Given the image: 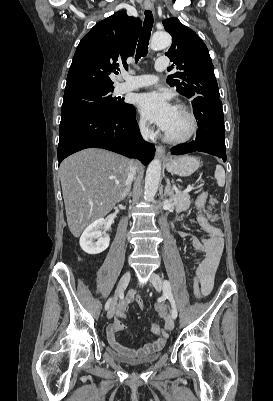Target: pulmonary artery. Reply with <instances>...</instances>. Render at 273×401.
I'll use <instances>...</instances> for the list:
<instances>
[{"label": "pulmonary artery", "mask_w": 273, "mask_h": 401, "mask_svg": "<svg viewBox=\"0 0 273 401\" xmlns=\"http://www.w3.org/2000/svg\"><path fill=\"white\" fill-rule=\"evenodd\" d=\"M158 69L162 72L167 71V60L165 57H158L156 60ZM159 80V77L155 74H137L135 80H121L119 87L122 91H131L135 89H147L149 83H155Z\"/></svg>", "instance_id": "pulmonary-artery-1"}]
</instances>
